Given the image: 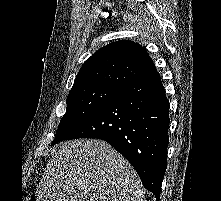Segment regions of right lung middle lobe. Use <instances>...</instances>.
<instances>
[{
  "label": "right lung middle lobe",
  "mask_w": 221,
  "mask_h": 201,
  "mask_svg": "<svg viewBox=\"0 0 221 201\" xmlns=\"http://www.w3.org/2000/svg\"><path fill=\"white\" fill-rule=\"evenodd\" d=\"M119 89L103 86L69 92L66 113L62 117L51 145L66 140L78 127L98 111Z\"/></svg>",
  "instance_id": "dd1d6c3e"
}]
</instances>
